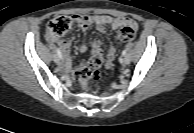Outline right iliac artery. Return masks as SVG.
<instances>
[{"label":"right iliac artery","instance_id":"right-iliac-artery-1","mask_svg":"<svg viewBox=\"0 0 194 133\" xmlns=\"http://www.w3.org/2000/svg\"><path fill=\"white\" fill-rule=\"evenodd\" d=\"M56 52H57V55H58L60 58H62V54H61V51H60L59 48L56 49Z\"/></svg>","mask_w":194,"mask_h":133}]
</instances>
